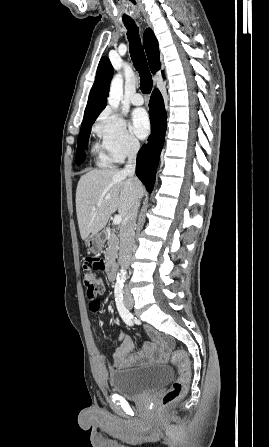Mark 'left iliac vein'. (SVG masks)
Returning <instances> with one entry per match:
<instances>
[{
	"label": "left iliac vein",
	"instance_id": "1",
	"mask_svg": "<svg viewBox=\"0 0 269 447\" xmlns=\"http://www.w3.org/2000/svg\"><path fill=\"white\" fill-rule=\"evenodd\" d=\"M126 305H127V307H128L129 309L132 308V304H131V302H129V301H126Z\"/></svg>",
	"mask_w": 269,
	"mask_h": 447
}]
</instances>
